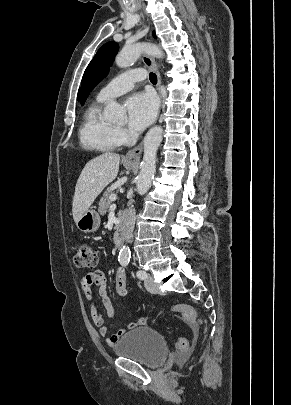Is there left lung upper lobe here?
<instances>
[{"label":"left lung upper lobe","instance_id":"obj_1","mask_svg":"<svg viewBox=\"0 0 291 405\" xmlns=\"http://www.w3.org/2000/svg\"><path fill=\"white\" fill-rule=\"evenodd\" d=\"M118 50L116 42H108L98 50L82 78L81 104H84L89 92L107 75Z\"/></svg>","mask_w":291,"mask_h":405}]
</instances>
